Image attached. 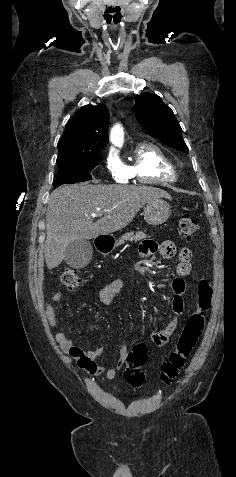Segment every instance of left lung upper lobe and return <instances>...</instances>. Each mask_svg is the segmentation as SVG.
<instances>
[{
	"mask_svg": "<svg viewBox=\"0 0 236 477\" xmlns=\"http://www.w3.org/2000/svg\"><path fill=\"white\" fill-rule=\"evenodd\" d=\"M135 112L138 122L147 134L172 148L189 153L178 120L158 95L141 94L136 100Z\"/></svg>",
	"mask_w": 236,
	"mask_h": 477,
	"instance_id": "left-lung-upper-lobe-1",
	"label": "left lung upper lobe"
}]
</instances>
